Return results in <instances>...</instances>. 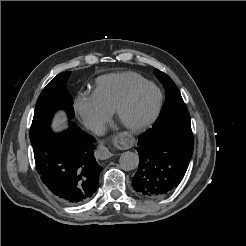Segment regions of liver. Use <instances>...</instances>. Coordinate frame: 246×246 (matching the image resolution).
I'll list each match as a JSON object with an SVG mask.
<instances>
[{
  "label": "liver",
  "instance_id": "1",
  "mask_svg": "<svg viewBox=\"0 0 246 246\" xmlns=\"http://www.w3.org/2000/svg\"><path fill=\"white\" fill-rule=\"evenodd\" d=\"M65 117H64V115L63 114H59L57 117H56V119L54 120V122H53V128L55 129V130H61L62 128H64L65 127V125H64V123H65Z\"/></svg>",
  "mask_w": 246,
  "mask_h": 246
}]
</instances>
